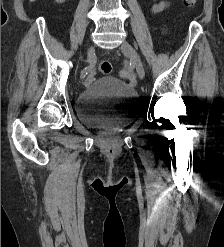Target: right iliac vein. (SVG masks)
<instances>
[{
  "mask_svg": "<svg viewBox=\"0 0 224 247\" xmlns=\"http://www.w3.org/2000/svg\"><path fill=\"white\" fill-rule=\"evenodd\" d=\"M92 51H93V48H92V46H90V47L88 48V56H90V55L92 54Z\"/></svg>",
  "mask_w": 224,
  "mask_h": 247,
  "instance_id": "63e3f726",
  "label": "right iliac vein"
}]
</instances>
